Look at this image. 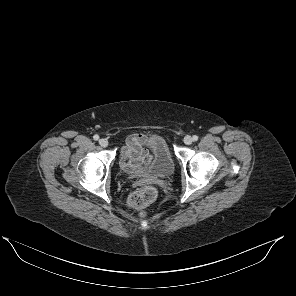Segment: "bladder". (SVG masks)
<instances>
[{
	"mask_svg": "<svg viewBox=\"0 0 296 296\" xmlns=\"http://www.w3.org/2000/svg\"><path fill=\"white\" fill-rule=\"evenodd\" d=\"M147 146L151 152L148 166L140 171H126L129 175L167 178L174 173L175 164L165 139L159 135L147 138Z\"/></svg>",
	"mask_w": 296,
	"mask_h": 296,
	"instance_id": "bladder-1",
	"label": "bladder"
}]
</instances>
